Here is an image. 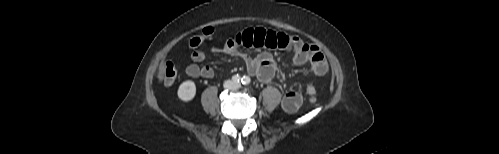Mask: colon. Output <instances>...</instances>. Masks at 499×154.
Instances as JSON below:
<instances>
[{
	"label": "colon",
	"mask_w": 499,
	"mask_h": 154,
	"mask_svg": "<svg viewBox=\"0 0 499 154\" xmlns=\"http://www.w3.org/2000/svg\"><path fill=\"white\" fill-rule=\"evenodd\" d=\"M213 35V30L207 28L203 31L201 36H194L190 39V47L196 48L200 45L203 38H210ZM159 77L162 83L170 87L174 84L177 77V68L173 61H167L162 64L159 70ZM306 92L311 103H315L318 99L317 88L313 83H309L306 87Z\"/></svg>",
	"instance_id": "5ec220e1"
}]
</instances>
